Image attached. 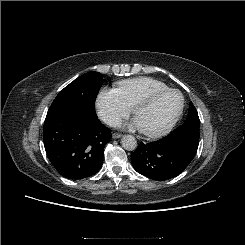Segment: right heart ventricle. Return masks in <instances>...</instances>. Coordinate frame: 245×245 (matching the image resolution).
I'll return each mask as SVG.
<instances>
[{
	"mask_svg": "<svg viewBox=\"0 0 245 245\" xmlns=\"http://www.w3.org/2000/svg\"><path fill=\"white\" fill-rule=\"evenodd\" d=\"M168 86L152 77H135L116 83V91L126 105L132 107L134 102L151 92L163 90Z\"/></svg>",
	"mask_w": 245,
	"mask_h": 245,
	"instance_id": "1",
	"label": "right heart ventricle"
}]
</instances>
